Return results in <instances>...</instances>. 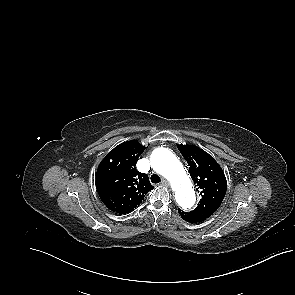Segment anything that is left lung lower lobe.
I'll list each match as a JSON object with an SVG mask.
<instances>
[{"label": "left lung lower lobe", "instance_id": "1", "mask_svg": "<svg viewBox=\"0 0 295 295\" xmlns=\"http://www.w3.org/2000/svg\"><path fill=\"white\" fill-rule=\"evenodd\" d=\"M178 212L185 221L190 223L202 222L206 219L205 217L196 216L189 212H183L181 209H178Z\"/></svg>", "mask_w": 295, "mask_h": 295}]
</instances>
